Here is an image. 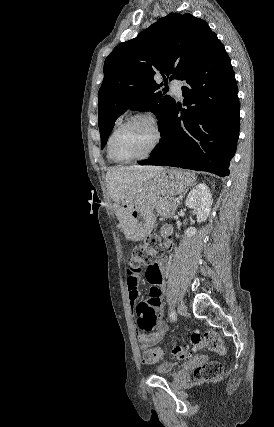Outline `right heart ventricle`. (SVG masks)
Listing matches in <instances>:
<instances>
[{
	"label": "right heart ventricle",
	"mask_w": 274,
	"mask_h": 427,
	"mask_svg": "<svg viewBox=\"0 0 274 427\" xmlns=\"http://www.w3.org/2000/svg\"><path fill=\"white\" fill-rule=\"evenodd\" d=\"M107 156H108V159L111 161V162H113V163H115L116 161L110 156V154L108 153L107 154Z\"/></svg>",
	"instance_id": "1"
}]
</instances>
